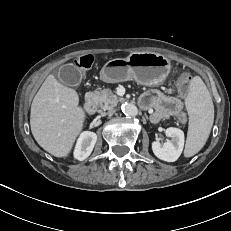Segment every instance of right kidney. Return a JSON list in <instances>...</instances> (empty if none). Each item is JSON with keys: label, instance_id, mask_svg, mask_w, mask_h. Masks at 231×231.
Here are the masks:
<instances>
[{"label": "right kidney", "instance_id": "right-kidney-1", "mask_svg": "<svg viewBox=\"0 0 231 231\" xmlns=\"http://www.w3.org/2000/svg\"><path fill=\"white\" fill-rule=\"evenodd\" d=\"M96 141V133L90 131L81 133L74 150V157L79 161L86 159L93 151Z\"/></svg>", "mask_w": 231, "mask_h": 231}]
</instances>
